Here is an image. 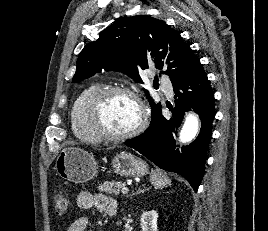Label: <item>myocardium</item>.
<instances>
[{
	"label": "myocardium",
	"mask_w": 268,
	"mask_h": 231,
	"mask_svg": "<svg viewBox=\"0 0 268 231\" xmlns=\"http://www.w3.org/2000/svg\"><path fill=\"white\" fill-rule=\"evenodd\" d=\"M113 95H124L130 97L137 104L140 111L138 124L131 130L124 133H112L105 129L102 124L101 111L105 101ZM87 121L94 134L109 141H123L140 134L147 124V110L138 94L124 86H105L98 90L90 99L87 108Z\"/></svg>",
	"instance_id": "f54148a6"
}]
</instances>
